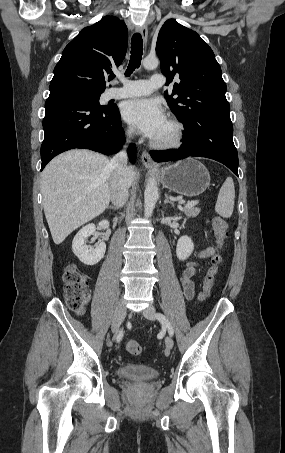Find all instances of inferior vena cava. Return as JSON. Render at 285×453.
<instances>
[{
  "instance_id": "obj_1",
  "label": "inferior vena cava",
  "mask_w": 285,
  "mask_h": 453,
  "mask_svg": "<svg viewBox=\"0 0 285 453\" xmlns=\"http://www.w3.org/2000/svg\"><path fill=\"white\" fill-rule=\"evenodd\" d=\"M131 133L132 131L130 130L129 134ZM127 162V153L124 147V149L118 152L109 163V166L113 170L111 180V201L117 208L124 206L129 196L128 189L131 183L128 178L129 167L127 166Z\"/></svg>"
}]
</instances>
